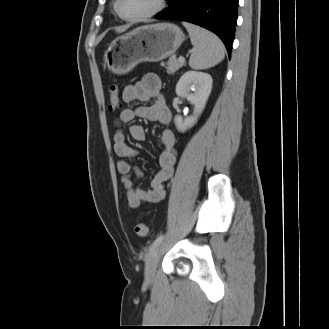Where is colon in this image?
Listing matches in <instances>:
<instances>
[{
    "mask_svg": "<svg viewBox=\"0 0 329 329\" xmlns=\"http://www.w3.org/2000/svg\"><path fill=\"white\" fill-rule=\"evenodd\" d=\"M121 106L119 88L116 84L109 86V108L111 111L118 110ZM135 233L140 237H146L150 234L148 226L144 223H138L135 226Z\"/></svg>",
    "mask_w": 329,
    "mask_h": 329,
    "instance_id": "obj_1",
    "label": "colon"
}]
</instances>
